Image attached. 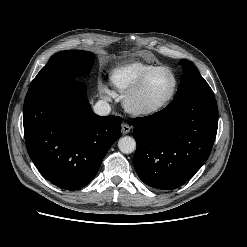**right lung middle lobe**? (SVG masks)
<instances>
[{"mask_svg": "<svg viewBox=\"0 0 247 247\" xmlns=\"http://www.w3.org/2000/svg\"><path fill=\"white\" fill-rule=\"evenodd\" d=\"M94 54L86 51H62L53 55L40 70L29 89L45 84L73 80L90 71Z\"/></svg>", "mask_w": 247, "mask_h": 247, "instance_id": "obj_1", "label": "right lung middle lobe"}]
</instances>
